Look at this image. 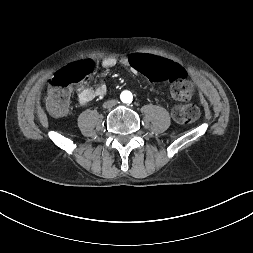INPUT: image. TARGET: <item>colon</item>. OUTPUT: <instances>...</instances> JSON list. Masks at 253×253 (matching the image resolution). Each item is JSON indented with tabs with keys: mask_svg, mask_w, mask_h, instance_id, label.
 I'll use <instances>...</instances> for the list:
<instances>
[{
	"mask_svg": "<svg viewBox=\"0 0 253 253\" xmlns=\"http://www.w3.org/2000/svg\"><path fill=\"white\" fill-rule=\"evenodd\" d=\"M131 70L144 77L172 84V96L178 101H188L193 95L192 86L186 81L183 66L176 61L149 57L145 53L133 55L129 61ZM93 71V64L84 61L73 64L57 73L51 80L48 91V107L58 115L64 114L69 105V88L87 79ZM200 111L193 104L178 105L172 110L174 120L188 124L199 117Z\"/></svg>",
	"mask_w": 253,
	"mask_h": 253,
	"instance_id": "1",
	"label": "colon"
}]
</instances>
